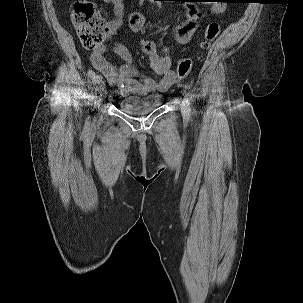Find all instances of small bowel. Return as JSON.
<instances>
[{
	"label": "small bowel",
	"mask_w": 303,
	"mask_h": 303,
	"mask_svg": "<svg viewBox=\"0 0 303 303\" xmlns=\"http://www.w3.org/2000/svg\"><path fill=\"white\" fill-rule=\"evenodd\" d=\"M104 3L111 4L113 7V18L109 22L110 33L118 30L123 23L125 11V0H102ZM187 1V0H186ZM208 8V13L212 16L224 12L225 4L221 0H212ZM186 20L182 22L176 30V41L183 45L186 44L197 29V22L201 13L192 3L185 4ZM145 17L138 11H133L129 16V26L134 33H143ZM106 46L97 47L91 55V63L108 82L116 86L122 94H128L131 91H138L142 94L156 91H167L176 80L175 73L171 70L170 58L167 50L159 49L156 42L152 40H143L141 48L143 53L149 59L151 70L161 77L159 81L145 77L133 64L131 53L122 46H116L114 50L120 56L122 63L116 66L108 62L103 57Z\"/></svg>",
	"instance_id": "small-bowel-1"
}]
</instances>
